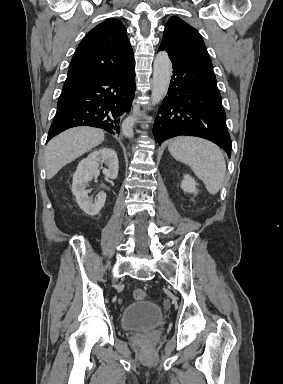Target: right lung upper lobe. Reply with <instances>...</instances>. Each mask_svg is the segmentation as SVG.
Here are the masks:
<instances>
[{"label": "right lung upper lobe", "mask_w": 283, "mask_h": 384, "mask_svg": "<svg viewBox=\"0 0 283 384\" xmlns=\"http://www.w3.org/2000/svg\"><path fill=\"white\" fill-rule=\"evenodd\" d=\"M134 65L124 25L118 19H108L94 27L77 47L63 92L90 79L126 71Z\"/></svg>", "instance_id": "right-lung-upper-lobe-1"}]
</instances>
